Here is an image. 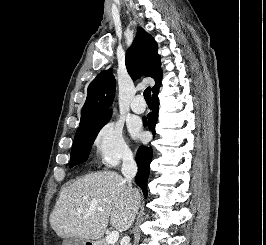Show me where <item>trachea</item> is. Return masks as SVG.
<instances>
[{
    "instance_id": "obj_1",
    "label": "trachea",
    "mask_w": 266,
    "mask_h": 245,
    "mask_svg": "<svg viewBox=\"0 0 266 245\" xmlns=\"http://www.w3.org/2000/svg\"><path fill=\"white\" fill-rule=\"evenodd\" d=\"M144 98L147 103H151V98H150V87L146 88L144 91Z\"/></svg>"
}]
</instances>
